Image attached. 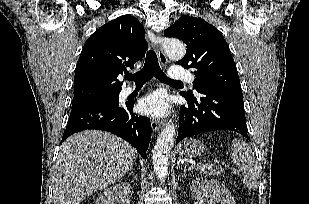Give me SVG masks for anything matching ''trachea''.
<instances>
[{
  "mask_svg": "<svg viewBox=\"0 0 309 204\" xmlns=\"http://www.w3.org/2000/svg\"><path fill=\"white\" fill-rule=\"evenodd\" d=\"M157 78L159 81L167 84H182L181 81L169 79L161 70L157 55L154 51L147 52L144 67L135 74H126L124 77L127 80H132L136 85H141L150 80L151 77Z\"/></svg>",
  "mask_w": 309,
  "mask_h": 204,
  "instance_id": "obj_1",
  "label": "trachea"
}]
</instances>
